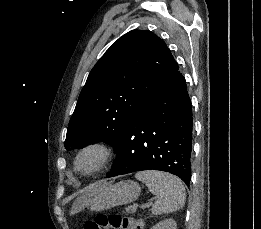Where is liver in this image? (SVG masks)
<instances>
[{
    "mask_svg": "<svg viewBox=\"0 0 261 229\" xmlns=\"http://www.w3.org/2000/svg\"><path fill=\"white\" fill-rule=\"evenodd\" d=\"M85 197L86 195H82V197H80L81 201H83V203H85Z\"/></svg>",
    "mask_w": 261,
    "mask_h": 229,
    "instance_id": "liver-1",
    "label": "liver"
}]
</instances>
